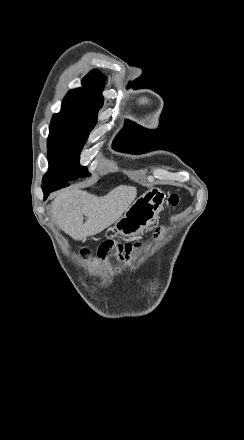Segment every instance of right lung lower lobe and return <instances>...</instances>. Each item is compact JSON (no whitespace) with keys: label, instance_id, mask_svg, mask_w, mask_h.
<instances>
[{"label":"right lung lower lobe","instance_id":"right-lung-lower-lobe-1","mask_svg":"<svg viewBox=\"0 0 244 440\" xmlns=\"http://www.w3.org/2000/svg\"><path fill=\"white\" fill-rule=\"evenodd\" d=\"M68 185L69 183L66 181H52V182L43 183L42 190L44 193V200L48 197V195L51 192L61 189L63 187H67Z\"/></svg>","mask_w":244,"mask_h":440}]
</instances>
